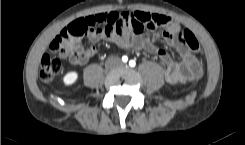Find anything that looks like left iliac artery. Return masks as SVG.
<instances>
[{"label":"left iliac artery","mask_w":245,"mask_h":145,"mask_svg":"<svg viewBox=\"0 0 245 145\" xmlns=\"http://www.w3.org/2000/svg\"><path fill=\"white\" fill-rule=\"evenodd\" d=\"M129 65H130L131 67H134V66L136 65V63H135V61L131 60V61L129 62Z\"/></svg>","instance_id":"1"}]
</instances>
